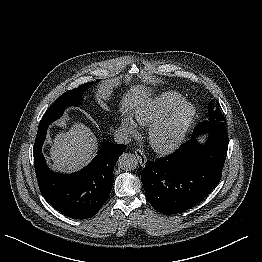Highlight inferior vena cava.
Instances as JSON below:
<instances>
[{
  "mask_svg": "<svg viewBox=\"0 0 262 262\" xmlns=\"http://www.w3.org/2000/svg\"><path fill=\"white\" fill-rule=\"evenodd\" d=\"M114 140L118 144H128L131 142V136L125 129H117L114 132Z\"/></svg>",
  "mask_w": 262,
  "mask_h": 262,
  "instance_id": "inferior-vena-cava-1",
  "label": "inferior vena cava"
}]
</instances>
